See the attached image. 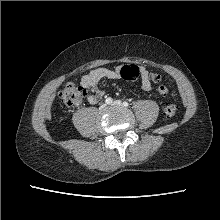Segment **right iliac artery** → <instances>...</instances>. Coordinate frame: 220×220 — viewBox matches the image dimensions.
Here are the masks:
<instances>
[{"instance_id": "82829eb1", "label": "right iliac artery", "mask_w": 220, "mask_h": 220, "mask_svg": "<svg viewBox=\"0 0 220 220\" xmlns=\"http://www.w3.org/2000/svg\"><path fill=\"white\" fill-rule=\"evenodd\" d=\"M105 102L107 103V104H111L112 102H113V99L112 98H107L106 100H105Z\"/></svg>"}]
</instances>
